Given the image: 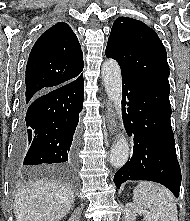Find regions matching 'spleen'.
I'll list each match as a JSON object with an SVG mask.
<instances>
[{
    "mask_svg": "<svg viewBox=\"0 0 190 221\" xmlns=\"http://www.w3.org/2000/svg\"><path fill=\"white\" fill-rule=\"evenodd\" d=\"M134 204L149 209L160 221H178L177 206L172 193L152 182H140L133 196Z\"/></svg>",
    "mask_w": 190,
    "mask_h": 221,
    "instance_id": "obj_1",
    "label": "spleen"
}]
</instances>
